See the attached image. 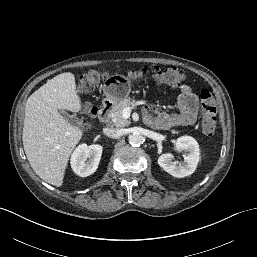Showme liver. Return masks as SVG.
<instances>
[{"instance_id": "6515ba94", "label": "liver", "mask_w": 257, "mask_h": 257, "mask_svg": "<svg viewBox=\"0 0 257 257\" xmlns=\"http://www.w3.org/2000/svg\"><path fill=\"white\" fill-rule=\"evenodd\" d=\"M81 109L75 76L70 72L55 76L27 99L24 151L34 172L51 185L62 186L69 157L83 136L59 110L77 113Z\"/></svg>"}]
</instances>
